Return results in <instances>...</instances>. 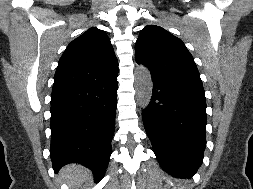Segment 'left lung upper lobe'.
<instances>
[{
	"mask_svg": "<svg viewBox=\"0 0 253 189\" xmlns=\"http://www.w3.org/2000/svg\"><path fill=\"white\" fill-rule=\"evenodd\" d=\"M135 60L151 71L153 79L204 93L192 55L179 38L162 27L148 25L141 30L135 44Z\"/></svg>",
	"mask_w": 253,
	"mask_h": 189,
	"instance_id": "5c2ea615",
	"label": "left lung upper lobe"
}]
</instances>
